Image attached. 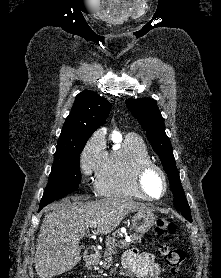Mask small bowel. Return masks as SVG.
Masks as SVG:
<instances>
[{"label":"small bowel","mask_w":221,"mask_h":278,"mask_svg":"<svg viewBox=\"0 0 221 278\" xmlns=\"http://www.w3.org/2000/svg\"><path fill=\"white\" fill-rule=\"evenodd\" d=\"M160 268L151 253L129 250L124 254L121 275L128 278H159Z\"/></svg>","instance_id":"obj_1"}]
</instances>
